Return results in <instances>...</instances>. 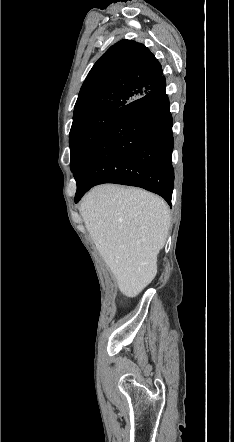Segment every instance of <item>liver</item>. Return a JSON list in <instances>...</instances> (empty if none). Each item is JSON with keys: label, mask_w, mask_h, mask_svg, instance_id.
<instances>
[{"label": "liver", "mask_w": 234, "mask_h": 442, "mask_svg": "<svg viewBox=\"0 0 234 442\" xmlns=\"http://www.w3.org/2000/svg\"><path fill=\"white\" fill-rule=\"evenodd\" d=\"M80 213L119 290L136 297L156 275L171 222L168 205L139 188L104 184L83 198Z\"/></svg>", "instance_id": "obj_1"}]
</instances>
